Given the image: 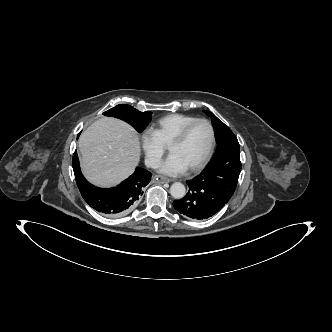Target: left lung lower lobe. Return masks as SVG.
Masks as SVG:
<instances>
[{
	"label": "left lung lower lobe",
	"instance_id": "1",
	"mask_svg": "<svg viewBox=\"0 0 332 332\" xmlns=\"http://www.w3.org/2000/svg\"><path fill=\"white\" fill-rule=\"evenodd\" d=\"M186 183L189 186L186 196L173 202L175 210L185 217L194 220L208 219L229 201V198L211 188L200 176Z\"/></svg>",
	"mask_w": 332,
	"mask_h": 332
}]
</instances>
